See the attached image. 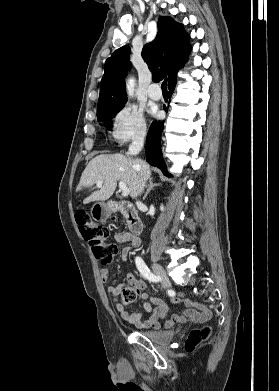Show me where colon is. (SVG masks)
Instances as JSON below:
<instances>
[{
	"instance_id": "colon-1",
	"label": "colon",
	"mask_w": 279,
	"mask_h": 391,
	"mask_svg": "<svg viewBox=\"0 0 279 391\" xmlns=\"http://www.w3.org/2000/svg\"><path fill=\"white\" fill-rule=\"evenodd\" d=\"M76 222L84 240H86L95 257L103 264L111 263L118 253V246L109 239V229L105 225L95 223L90 215L82 210L76 214ZM122 298L125 303H131L136 299V291L131 287L122 290ZM212 333L209 326L194 328L188 334L185 341V349L189 352L207 340Z\"/></svg>"
}]
</instances>
